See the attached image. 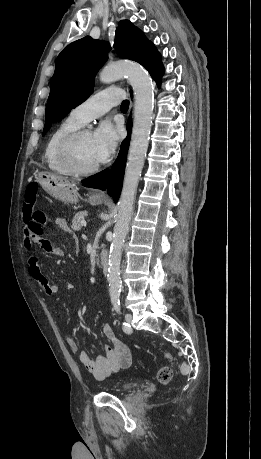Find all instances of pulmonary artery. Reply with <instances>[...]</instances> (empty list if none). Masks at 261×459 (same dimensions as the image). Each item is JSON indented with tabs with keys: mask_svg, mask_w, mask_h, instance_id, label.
I'll return each instance as SVG.
<instances>
[{
	"mask_svg": "<svg viewBox=\"0 0 261 459\" xmlns=\"http://www.w3.org/2000/svg\"><path fill=\"white\" fill-rule=\"evenodd\" d=\"M124 97L123 90L107 88L89 97L75 107L69 116L81 124H86L94 118L105 114L110 108L119 104Z\"/></svg>",
	"mask_w": 261,
	"mask_h": 459,
	"instance_id": "e3ab8cb5",
	"label": "pulmonary artery"
}]
</instances>
